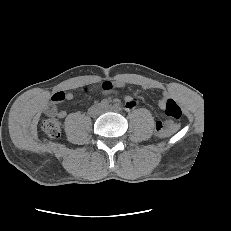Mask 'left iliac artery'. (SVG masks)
Returning a JSON list of instances; mask_svg holds the SVG:
<instances>
[{"mask_svg": "<svg viewBox=\"0 0 231 231\" xmlns=\"http://www.w3.org/2000/svg\"><path fill=\"white\" fill-rule=\"evenodd\" d=\"M114 107H115L116 110H121L122 109V106L119 103H116L114 105Z\"/></svg>", "mask_w": 231, "mask_h": 231, "instance_id": "1", "label": "left iliac artery"}]
</instances>
